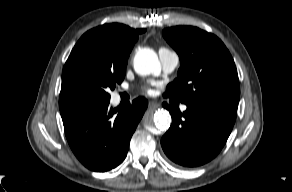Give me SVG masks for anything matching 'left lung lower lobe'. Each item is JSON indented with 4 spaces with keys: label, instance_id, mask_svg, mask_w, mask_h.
<instances>
[{
    "label": "left lung lower lobe",
    "instance_id": "1",
    "mask_svg": "<svg viewBox=\"0 0 292 192\" xmlns=\"http://www.w3.org/2000/svg\"><path fill=\"white\" fill-rule=\"evenodd\" d=\"M163 106L172 116V125L161 139L170 160L184 167L203 165L220 152L226 143L237 111L215 106H187L183 113Z\"/></svg>",
    "mask_w": 292,
    "mask_h": 192
}]
</instances>
